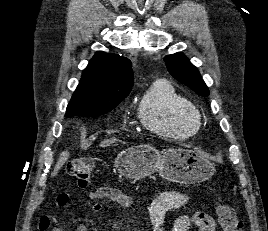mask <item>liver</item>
<instances>
[{
    "label": "liver",
    "instance_id": "1",
    "mask_svg": "<svg viewBox=\"0 0 268 231\" xmlns=\"http://www.w3.org/2000/svg\"><path fill=\"white\" fill-rule=\"evenodd\" d=\"M116 142V139L112 138V139H109V140H104L101 142L100 146L101 147H106V146H109L110 144ZM69 158V152L67 150L63 151L59 158H58V161L55 165V168L53 170V172L51 173V176L54 177L58 174V171L63 167V165L65 164V162H67Z\"/></svg>",
    "mask_w": 268,
    "mask_h": 231
}]
</instances>
